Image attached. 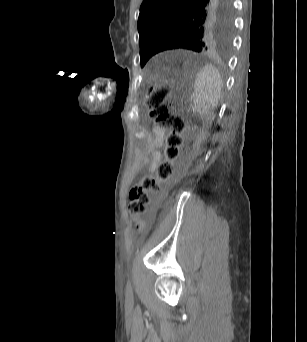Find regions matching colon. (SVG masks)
Here are the masks:
<instances>
[{
	"label": "colon",
	"mask_w": 307,
	"mask_h": 342,
	"mask_svg": "<svg viewBox=\"0 0 307 342\" xmlns=\"http://www.w3.org/2000/svg\"><path fill=\"white\" fill-rule=\"evenodd\" d=\"M168 87H150L149 113L154 124L167 131L165 138L164 158L158 163L154 174H145L140 181L131 186L127 208L134 217L135 234L145 229L141 219L149 208L151 194L159 191V184L175 175V160L180 156L185 125L167 104Z\"/></svg>",
	"instance_id": "1"
}]
</instances>
